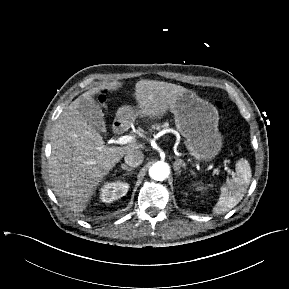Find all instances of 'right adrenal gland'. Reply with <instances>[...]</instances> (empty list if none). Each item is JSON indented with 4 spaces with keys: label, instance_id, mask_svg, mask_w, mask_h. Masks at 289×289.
Returning a JSON list of instances; mask_svg holds the SVG:
<instances>
[{
    "label": "right adrenal gland",
    "instance_id": "1",
    "mask_svg": "<svg viewBox=\"0 0 289 289\" xmlns=\"http://www.w3.org/2000/svg\"><path fill=\"white\" fill-rule=\"evenodd\" d=\"M121 168L122 170H126L127 172H130L133 170V168H129L127 165L125 164H121ZM129 174V173H128Z\"/></svg>",
    "mask_w": 289,
    "mask_h": 289
}]
</instances>
